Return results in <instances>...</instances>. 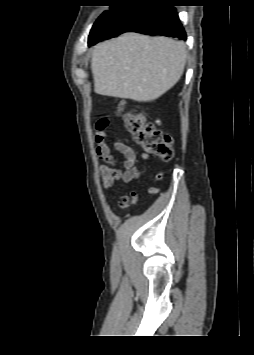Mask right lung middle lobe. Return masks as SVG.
Instances as JSON below:
<instances>
[{
	"instance_id": "1",
	"label": "right lung middle lobe",
	"mask_w": 254,
	"mask_h": 355,
	"mask_svg": "<svg viewBox=\"0 0 254 355\" xmlns=\"http://www.w3.org/2000/svg\"><path fill=\"white\" fill-rule=\"evenodd\" d=\"M119 5H111L110 10L107 12H104L98 19L97 21L94 23L91 31H90V35L88 38V43L93 41L99 34V32L101 31V29L103 28V26L105 25V23L108 21V19L110 18V16L112 15V13L114 12L115 9L118 8Z\"/></svg>"
}]
</instances>
